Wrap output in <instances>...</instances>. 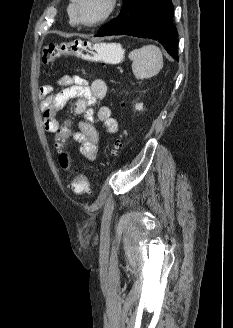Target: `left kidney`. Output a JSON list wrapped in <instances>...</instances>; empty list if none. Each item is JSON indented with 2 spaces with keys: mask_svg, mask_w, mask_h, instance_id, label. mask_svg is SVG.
<instances>
[{
  "mask_svg": "<svg viewBox=\"0 0 233 328\" xmlns=\"http://www.w3.org/2000/svg\"><path fill=\"white\" fill-rule=\"evenodd\" d=\"M135 109L138 110V111L143 110V104H142V103H137V104L135 105Z\"/></svg>",
  "mask_w": 233,
  "mask_h": 328,
  "instance_id": "obj_1",
  "label": "left kidney"
}]
</instances>
